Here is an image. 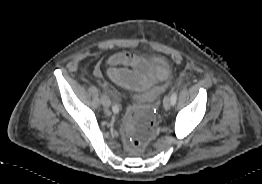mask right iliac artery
Returning <instances> with one entry per match:
<instances>
[{
    "label": "right iliac artery",
    "instance_id": "1",
    "mask_svg": "<svg viewBox=\"0 0 262 184\" xmlns=\"http://www.w3.org/2000/svg\"><path fill=\"white\" fill-rule=\"evenodd\" d=\"M112 110H113L114 113H118L119 112V108H118L117 105H113Z\"/></svg>",
    "mask_w": 262,
    "mask_h": 184
}]
</instances>
